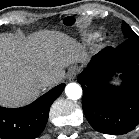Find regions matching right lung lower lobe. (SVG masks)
I'll return each instance as SVG.
<instances>
[{"mask_svg": "<svg viewBox=\"0 0 139 139\" xmlns=\"http://www.w3.org/2000/svg\"><path fill=\"white\" fill-rule=\"evenodd\" d=\"M65 84L53 88L28 106L16 109L0 107V138L35 139L48 120L50 106L63 92Z\"/></svg>", "mask_w": 139, "mask_h": 139, "instance_id": "98d812e1", "label": "right lung lower lobe"}]
</instances>
